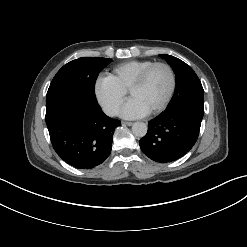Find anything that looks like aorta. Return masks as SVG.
<instances>
[{"instance_id":"762f6f07","label":"aorta","mask_w":247,"mask_h":247,"mask_svg":"<svg viewBox=\"0 0 247 247\" xmlns=\"http://www.w3.org/2000/svg\"><path fill=\"white\" fill-rule=\"evenodd\" d=\"M132 132L137 137H143L147 133V125L143 122H135L132 125Z\"/></svg>"}]
</instances>
